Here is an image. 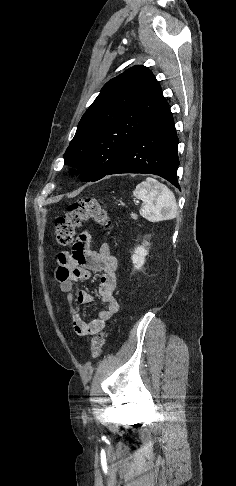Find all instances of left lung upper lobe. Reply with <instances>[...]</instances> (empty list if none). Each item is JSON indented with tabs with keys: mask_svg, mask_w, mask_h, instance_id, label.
Returning a JSON list of instances; mask_svg holds the SVG:
<instances>
[{
	"mask_svg": "<svg viewBox=\"0 0 236 486\" xmlns=\"http://www.w3.org/2000/svg\"><path fill=\"white\" fill-rule=\"evenodd\" d=\"M169 104L145 66H133L108 81L81 118L64 163L78 169L81 181L103 178L132 140Z\"/></svg>",
	"mask_w": 236,
	"mask_h": 486,
	"instance_id": "5c2ea615",
	"label": "left lung upper lobe"
}]
</instances>
